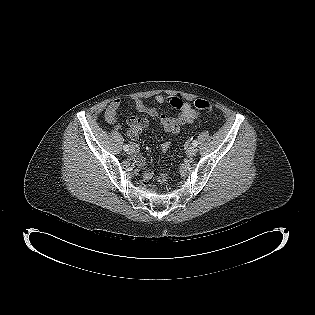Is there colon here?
I'll return each mask as SVG.
<instances>
[{
	"label": "colon",
	"instance_id": "colon-1",
	"mask_svg": "<svg viewBox=\"0 0 315 315\" xmlns=\"http://www.w3.org/2000/svg\"><path fill=\"white\" fill-rule=\"evenodd\" d=\"M194 106H195V108H197L200 111H203L206 114H212L213 113L212 104L209 101H207V100L197 99L194 102ZM141 120L142 119H139V118H136V117H130L129 118V124L131 126V125H133L135 123L141 122ZM166 180H167V174H165V173H161V174H159L157 176V182L159 184H163Z\"/></svg>",
	"mask_w": 315,
	"mask_h": 315
}]
</instances>
